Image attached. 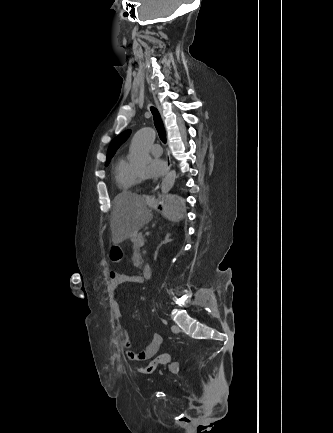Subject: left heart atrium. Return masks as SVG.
Instances as JSON below:
<instances>
[{
  "label": "left heart atrium",
  "mask_w": 333,
  "mask_h": 433,
  "mask_svg": "<svg viewBox=\"0 0 333 433\" xmlns=\"http://www.w3.org/2000/svg\"><path fill=\"white\" fill-rule=\"evenodd\" d=\"M165 170V162L159 157H153L144 170V176L150 179L158 178Z\"/></svg>",
  "instance_id": "1"
}]
</instances>
